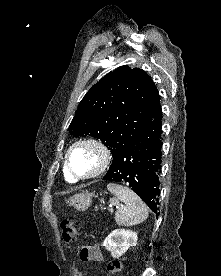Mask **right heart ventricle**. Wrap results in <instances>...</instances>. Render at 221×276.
Segmentation results:
<instances>
[{
    "instance_id": "obj_1",
    "label": "right heart ventricle",
    "mask_w": 221,
    "mask_h": 276,
    "mask_svg": "<svg viewBox=\"0 0 221 276\" xmlns=\"http://www.w3.org/2000/svg\"><path fill=\"white\" fill-rule=\"evenodd\" d=\"M64 175L66 177L67 180L71 181L72 178L68 175V173L66 172V169H64Z\"/></svg>"
}]
</instances>
